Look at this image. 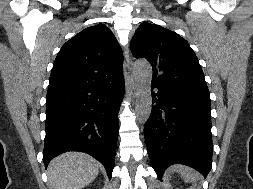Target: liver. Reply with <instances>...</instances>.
Instances as JSON below:
<instances>
[{
	"mask_svg": "<svg viewBox=\"0 0 253 189\" xmlns=\"http://www.w3.org/2000/svg\"><path fill=\"white\" fill-rule=\"evenodd\" d=\"M99 172V163L81 152H66L54 158L48 167L49 189H82Z\"/></svg>",
	"mask_w": 253,
	"mask_h": 189,
	"instance_id": "liver-1",
	"label": "liver"
}]
</instances>
